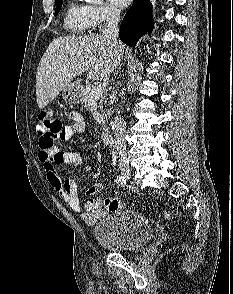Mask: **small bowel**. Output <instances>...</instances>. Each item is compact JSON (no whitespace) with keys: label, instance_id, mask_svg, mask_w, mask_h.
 Instances as JSON below:
<instances>
[{"label":"small bowel","instance_id":"obj_1","mask_svg":"<svg viewBox=\"0 0 233 294\" xmlns=\"http://www.w3.org/2000/svg\"><path fill=\"white\" fill-rule=\"evenodd\" d=\"M68 118L69 121H65L64 132L60 137L62 141H68L75 134L85 131V121L79 112H70ZM39 161L44 168L49 185L67 203L70 209L81 213L82 218L88 225H94L104 216L105 212L102 208L100 199L90 198L85 202L84 206H82L76 182L72 179L63 181L58 173V167L61 165H70L74 167L82 165L83 157L79 152L60 151L57 148L46 149L45 151L41 150L39 153ZM102 189L103 185L97 183L89 187L87 194L94 195L102 191Z\"/></svg>","mask_w":233,"mask_h":294}]
</instances>
